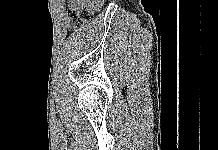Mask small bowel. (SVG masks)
Here are the masks:
<instances>
[{
  "mask_svg": "<svg viewBox=\"0 0 218 150\" xmlns=\"http://www.w3.org/2000/svg\"><path fill=\"white\" fill-rule=\"evenodd\" d=\"M70 8L74 7H100L104 0H66Z\"/></svg>",
  "mask_w": 218,
  "mask_h": 150,
  "instance_id": "c3829d8e",
  "label": "small bowel"
}]
</instances>
